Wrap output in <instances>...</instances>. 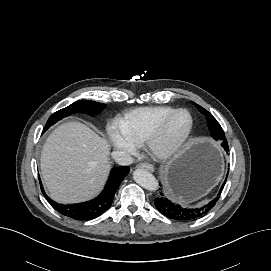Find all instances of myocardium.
Segmentation results:
<instances>
[{
  "label": "myocardium",
  "instance_id": "myocardium-1",
  "mask_svg": "<svg viewBox=\"0 0 271 271\" xmlns=\"http://www.w3.org/2000/svg\"><path fill=\"white\" fill-rule=\"evenodd\" d=\"M186 113L190 118V125L187 132L178 140L169 142L166 139L169 127L174 118L180 114ZM194 117L192 113L185 108L174 110L167 118L154 130V132L145 141L147 152L159 160H167L177 155L190 141L194 131Z\"/></svg>",
  "mask_w": 271,
  "mask_h": 271
}]
</instances>
